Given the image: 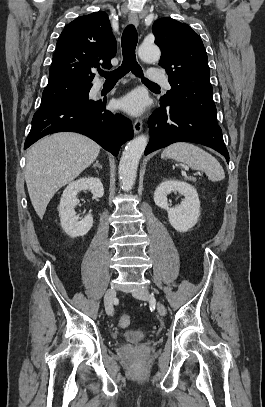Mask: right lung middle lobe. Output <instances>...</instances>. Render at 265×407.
<instances>
[{
	"label": "right lung middle lobe",
	"instance_id": "dd1d6c3e",
	"mask_svg": "<svg viewBox=\"0 0 265 407\" xmlns=\"http://www.w3.org/2000/svg\"><path fill=\"white\" fill-rule=\"evenodd\" d=\"M91 88V84L77 82L48 83L42 94L39 109L62 103H68L81 98Z\"/></svg>",
	"mask_w": 265,
	"mask_h": 407
}]
</instances>
